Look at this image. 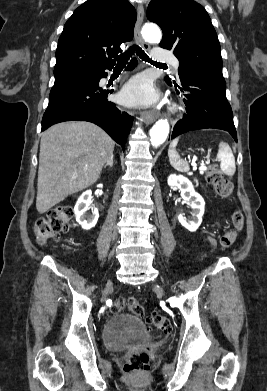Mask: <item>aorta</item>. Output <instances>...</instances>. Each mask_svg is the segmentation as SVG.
Here are the masks:
<instances>
[{
	"instance_id": "aorta-1",
	"label": "aorta",
	"mask_w": 267,
	"mask_h": 391,
	"mask_svg": "<svg viewBox=\"0 0 267 391\" xmlns=\"http://www.w3.org/2000/svg\"><path fill=\"white\" fill-rule=\"evenodd\" d=\"M142 36L149 43H159L162 38L161 31L155 24L144 25L142 28ZM169 129L167 120H158L149 132L152 145L157 147L164 143L168 137Z\"/></svg>"
}]
</instances>
